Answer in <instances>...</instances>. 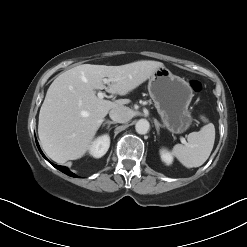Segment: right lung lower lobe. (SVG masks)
<instances>
[{
  "label": "right lung lower lobe",
  "mask_w": 247,
  "mask_h": 247,
  "mask_svg": "<svg viewBox=\"0 0 247 247\" xmlns=\"http://www.w3.org/2000/svg\"><path fill=\"white\" fill-rule=\"evenodd\" d=\"M36 144H37V147H38V149H39V151H40V153L43 155V157L46 159V160H48L46 157H45V155L42 153V151H41V149H40V147H39V145H38V142L36 141ZM49 161V160H48ZM50 162V161H49ZM51 163V162H50ZM55 168H57L58 170H60V171H62L63 173H65V174H67V175H69V176H71V177H76L71 171H69L66 167H64V166H59V165H55V164H53V163H51Z\"/></svg>",
  "instance_id": "obj_1"
}]
</instances>
